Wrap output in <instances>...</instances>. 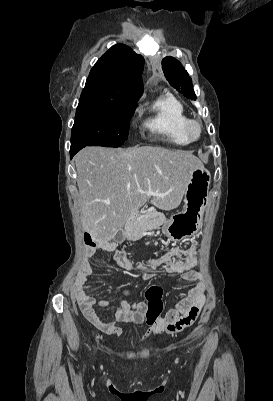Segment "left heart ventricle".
Here are the masks:
<instances>
[{
  "label": "left heart ventricle",
  "instance_id": "1",
  "mask_svg": "<svg viewBox=\"0 0 273 401\" xmlns=\"http://www.w3.org/2000/svg\"><path fill=\"white\" fill-rule=\"evenodd\" d=\"M197 128H194V134L196 135L197 134Z\"/></svg>",
  "mask_w": 273,
  "mask_h": 401
}]
</instances>
